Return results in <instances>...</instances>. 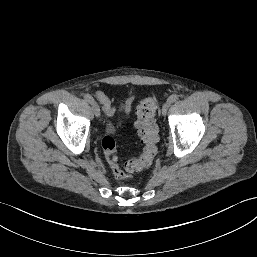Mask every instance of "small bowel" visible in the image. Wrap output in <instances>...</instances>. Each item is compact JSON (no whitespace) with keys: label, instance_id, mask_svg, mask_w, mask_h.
Wrapping results in <instances>:
<instances>
[{"label":"small bowel","instance_id":"1","mask_svg":"<svg viewBox=\"0 0 257 257\" xmlns=\"http://www.w3.org/2000/svg\"><path fill=\"white\" fill-rule=\"evenodd\" d=\"M94 94H95V97L102 104L105 114L110 118L114 117L118 111L128 113L131 110V104H132L133 98H128L125 101H123L119 106V108L117 109L111 105L108 95L103 91L97 90L95 91ZM108 130L109 132H113L112 124H109Z\"/></svg>","mask_w":257,"mask_h":257}]
</instances>
